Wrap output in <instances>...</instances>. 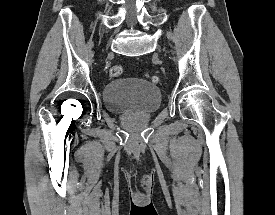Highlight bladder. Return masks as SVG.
Listing matches in <instances>:
<instances>
[{
    "mask_svg": "<svg viewBox=\"0 0 275 215\" xmlns=\"http://www.w3.org/2000/svg\"><path fill=\"white\" fill-rule=\"evenodd\" d=\"M103 102L114 114H149L159 108L161 93L149 80L114 79L103 88Z\"/></svg>",
    "mask_w": 275,
    "mask_h": 215,
    "instance_id": "31cf9c89",
    "label": "bladder"
}]
</instances>
